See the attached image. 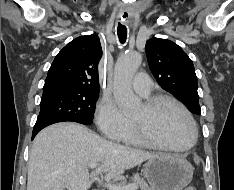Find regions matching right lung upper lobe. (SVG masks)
I'll return each instance as SVG.
<instances>
[{"label":"right lung upper lobe","mask_w":234,"mask_h":190,"mask_svg":"<svg viewBox=\"0 0 234 190\" xmlns=\"http://www.w3.org/2000/svg\"><path fill=\"white\" fill-rule=\"evenodd\" d=\"M101 56L102 48L96 34L75 38L56 55L44 87L99 91L97 66Z\"/></svg>","instance_id":"cb5924a9"}]
</instances>
